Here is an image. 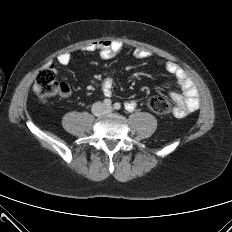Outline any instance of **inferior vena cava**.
I'll use <instances>...</instances> for the list:
<instances>
[{"instance_id":"602c4592","label":"inferior vena cava","mask_w":232,"mask_h":232,"mask_svg":"<svg viewBox=\"0 0 232 232\" xmlns=\"http://www.w3.org/2000/svg\"><path fill=\"white\" fill-rule=\"evenodd\" d=\"M102 111H103V104L101 102H96V103L93 104L92 112L95 115L101 114Z\"/></svg>"}]
</instances>
